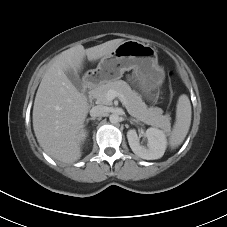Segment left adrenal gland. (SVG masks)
I'll return each instance as SVG.
<instances>
[{
	"mask_svg": "<svg viewBox=\"0 0 227 227\" xmlns=\"http://www.w3.org/2000/svg\"><path fill=\"white\" fill-rule=\"evenodd\" d=\"M130 120H132V121H136L135 119H132V118H131Z\"/></svg>",
	"mask_w": 227,
	"mask_h": 227,
	"instance_id": "obj_1",
	"label": "left adrenal gland"
}]
</instances>
